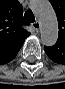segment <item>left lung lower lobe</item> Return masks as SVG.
<instances>
[{
	"instance_id": "left-lung-lower-lobe-1",
	"label": "left lung lower lobe",
	"mask_w": 65,
	"mask_h": 89,
	"mask_svg": "<svg viewBox=\"0 0 65 89\" xmlns=\"http://www.w3.org/2000/svg\"><path fill=\"white\" fill-rule=\"evenodd\" d=\"M48 57L58 64H65V41L57 40L52 47H45Z\"/></svg>"
}]
</instances>
